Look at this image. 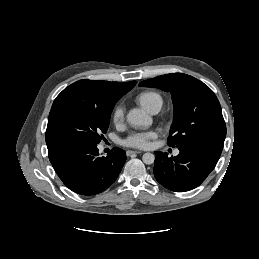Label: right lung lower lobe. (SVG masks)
<instances>
[{"label": "right lung lower lobe", "mask_w": 259, "mask_h": 259, "mask_svg": "<svg viewBox=\"0 0 259 259\" xmlns=\"http://www.w3.org/2000/svg\"><path fill=\"white\" fill-rule=\"evenodd\" d=\"M49 160L62 182L81 195L98 194L118 177L125 152L113 148L106 157L99 156L97 144L66 143L47 145Z\"/></svg>", "instance_id": "98d812e1"}]
</instances>
